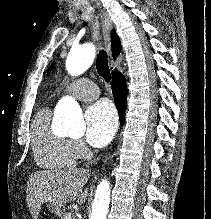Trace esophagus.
Instances as JSON below:
<instances>
[{
  "instance_id": "esophagus-1",
  "label": "esophagus",
  "mask_w": 211,
  "mask_h": 219,
  "mask_svg": "<svg viewBox=\"0 0 211 219\" xmlns=\"http://www.w3.org/2000/svg\"><path fill=\"white\" fill-rule=\"evenodd\" d=\"M100 11L101 24H102V34L104 39V45L107 50L108 56L111 58V31L113 29L112 21L109 18L108 14L103 10ZM108 156H105L103 161H106Z\"/></svg>"
}]
</instances>
